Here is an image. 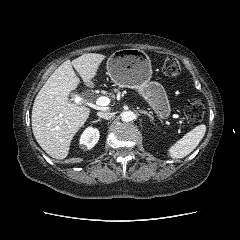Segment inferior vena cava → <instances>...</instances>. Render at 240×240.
<instances>
[{
    "label": "inferior vena cava",
    "instance_id": "1",
    "mask_svg": "<svg viewBox=\"0 0 240 240\" xmlns=\"http://www.w3.org/2000/svg\"><path fill=\"white\" fill-rule=\"evenodd\" d=\"M97 115H98L100 118L109 120V119H111V118L114 117L115 113H112V112H98Z\"/></svg>",
    "mask_w": 240,
    "mask_h": 240
}]
</instances>
